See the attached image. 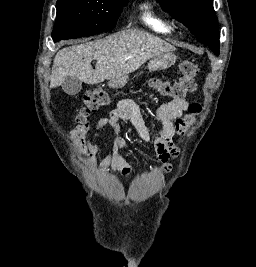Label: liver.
<instances>
[{"label":"liver","mask_w":256,"mask_h":267,"mask_svg":"<svg viewBox=\"0 0 256 267\" xmlns=\"http://www.w3.org/2000/svg\"><path fill=\"white\" fill-rule=\"evenodd\" d=\"M175 50L174 46L148 32L121 30L104 40L59 50L51 70L50 88L61 86L67 76H75L84 84L122 80L150 58ZM92 60L97 62L95 70Z\"/></svg>","instance_id":"obj_1"}]
</instances>
